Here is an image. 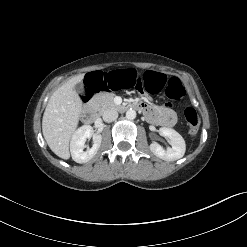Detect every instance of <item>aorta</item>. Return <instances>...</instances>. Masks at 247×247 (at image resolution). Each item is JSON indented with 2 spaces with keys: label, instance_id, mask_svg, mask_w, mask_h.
<instances>
[{
  "label": "aorta",
  "instance_id": "762f6f07",
  "mask_svg": "<svg viewBox=\"0 0 247 247\" xmlns=\"http://www.w3.org/2000/svg\"><path fill=\"white\" fill-rule=\"evenodd\" d=\"M126 118H127L128 120H133V119H135V118H136V111L133 110V109L128 110V111L126 112Z\"/></svg>",
  "mask_w": 247,
  "mask_h": 247
}]
</instances>
